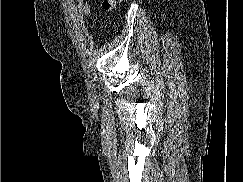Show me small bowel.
Here are the masks:
<instances>
[{"label":"small bowel","instance_id":"obj_1","mask_svg":"<svg viewBox=\"0 0 243 182\" xmlns=\"http://www.w3.org/2000/svg\"><path fill=\"white\" fill-rule=\"evenodd\" d=\"M86 12H89V9L88 8H86Z\"/></svg>","mask_w":243,"mask_h":182}]
</instances>
